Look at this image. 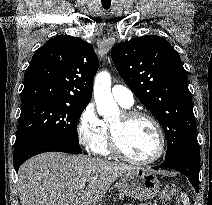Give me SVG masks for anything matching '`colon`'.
Segmentation results:
<instances>
[{"label":"colon","instance_id":"obj_1","mask_svg":"<svg viewBox=\"0 0 212 205\" xmlns=\"http://www.w3.org/2000/svg\"><path fill=\"white\" fill-rule=\"evenodd\" d=\"M163 205H180L176 187L173 184H167L162 193Z\"/></svg>","mask_w":212,"mask_h":205}]
</instances>
